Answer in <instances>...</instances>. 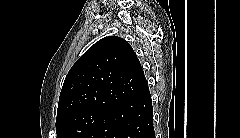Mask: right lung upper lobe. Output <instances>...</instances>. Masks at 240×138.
I'll return each mask as SVG.
<instances>
[{
    "label": "right lung upper lobe",
    "mask_w": 240,
    "mask_h": 138,
    "mask_svg": "<svg viewBox=\"0 0 240 138\" xmlns=\"http://www.w3.org/2000/svg\"><path fill=\"white\" fill-rule=\"evenodd\" d=\"M148 87L129 43L105 37L85 52L68 72L59 97L57 119L70 113L109 111Z\"/></svg>",
    "instance_id": "1"
}]
</instances>
